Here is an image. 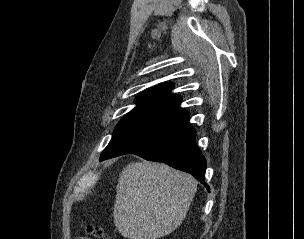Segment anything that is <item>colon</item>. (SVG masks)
<instances>
[{
    "instance_id": "1",
    "label": "colon",
    "mask_w": 304,
    "mask_h": 239,
    "mask_svg": "<svg viewBox=\"0 0 304 239\" xmlns=\"http://www.w3.org/2000/svg\"><path fill=\"white\" fill-rule=\"evenodd\" d=\"M86 231L88 234L94 235L97 238L108 239V236L104 233V231L100 227L94 225H88L86 226Z\"/></svg>"
}]
</instances>
